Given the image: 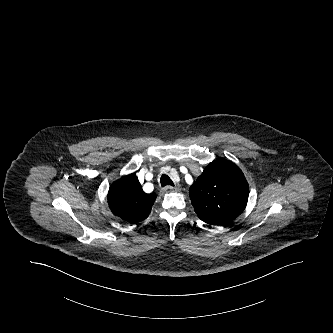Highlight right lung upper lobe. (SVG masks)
I'll use <instances>...</instances> for the list:
<instances>
[{"mask_svg":"<svg viewBox=\"0 0 333 333\" xmlns=\"http://www.w3.org/2000/svg\"><path fill=\"white\" fill-rule=\"evenodd\" d=\"M156 194H147L134 174L115 181L108 192V204L114 215L128 223L145 220L151 212Z\"/></svg>","mask_w":333,"mask_h":333,"instance_id":"1","label":"right lung upper lobe"}]
</instances>
